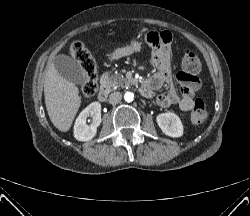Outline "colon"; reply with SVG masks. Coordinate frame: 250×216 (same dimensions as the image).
Returning <instances> with one entry per match:
<instances>
[{
  "mask_svg": "<svg viewBox=\"0 0 250 216\" xmlns=\"http://www.w3.org/2000/svg\"><path fill=\"white\" fill-rule=\"evenodd\" d=\"M73 58L82 68L85 81L81 86L82 95L85 98L92 97L97 90L96 63L90 51L80 43L71 47ZM182 72L185 76L194 77L201 69V63L197 55L189 49H186L182 55ZM207 109L202 99H196L190 113V120L195 125H201L207 120Z\"/></svg>",
  "mask_w": 250,
  "mask_h": 216,
  "instance_id": "colon-1",
  "label": "colon"
}]
</instances>
